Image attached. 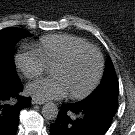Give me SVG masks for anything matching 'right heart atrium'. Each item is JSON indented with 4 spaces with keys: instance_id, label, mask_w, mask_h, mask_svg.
Listing matches in <instances>:
<instances>
[{
    "instance_id": "d8ad5b80",
    "label": "right heart atrium",
    "mask_w": 135,
    "mask_h": 135,
    "mask_svg": "<svg viewBox=\"0 0 135 135\" xmlns=\"http://www.w3.org/2000/svg\"><path fill=\"white\" fill-rule=\"evenodd\" d=\"M16 66L28 79L41 76L47 69L40 54L35 50L19 52L15 57Z\"/></svg>"
}]
</instances>
